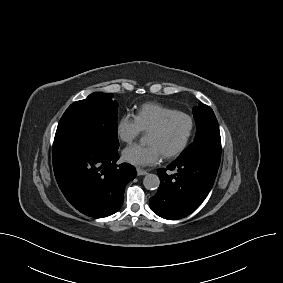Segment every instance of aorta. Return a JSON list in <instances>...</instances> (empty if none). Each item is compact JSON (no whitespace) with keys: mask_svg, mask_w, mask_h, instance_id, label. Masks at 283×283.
<instances>
[{"mask_svg":"<svg viewBox=\"0 0 283 283\" xmlns=\"http://www.w3.org/2000/svg\"><path fill=\"white\" fill-rule=\"evenodd\" d=\"M143 184L148 190H155L160 185V179L155 174H147L143 180Z\"/></svg>","mask_w":283,"mask_h":283,"instance_id":"aorta-1","label":"aorta"}]
</instances>
